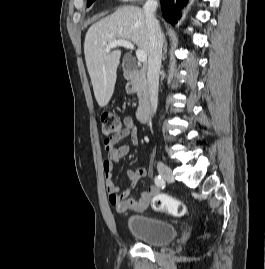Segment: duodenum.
Returning a JSON list of instances; mask_svg holds the SVG:
<instances>
[{"instance_id":"duodenum-1","label":"duodenum","mask_w":265,"mask_h":269,"mask_svg":"<svg viewBox=\"0 0 265 269\" xmlns=\"http://www.w3.org/2000/svg\"><path fill=\"white\" fill-rule=\"evenodd\" d=\"M130 86L137 92L139 105L136 110V117L140 123L148 120L151 111V95L148 88L145 69L128 70L126 73Z\"/></svg>"}]
</instances>
